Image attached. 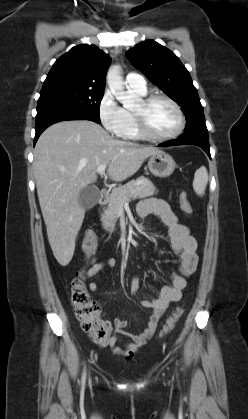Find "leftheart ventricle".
Instances as JSON below:
<instances>
[{"label":"left heart ventricle","mask_w":248,"mask_h":419,"mask_svg":"<svg viewBox=\"0 0 248 419\" xmlns=\"http://www.w3.org/2000/svg\"><path fill=\"white\" fill-rule=\"evenodd\" d=\"M142 108L141 102L135 110ZM145 117L149 130L158 136H164L175 131L179 124L175 109L164 100H157L145 108Z\"/></svg>","instance_id":"obj_1"}]
</instances>
